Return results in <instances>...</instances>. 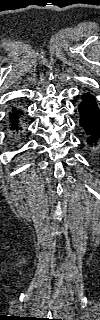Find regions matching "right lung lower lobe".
Here are the masks:
<instances>
[{"label":"right lung lower lobe","instance_id":"98d812e1","mask_svg":"<svg viewBox=\"0 0 100 320\" xmlns=\"http://www.w3.org/2000/svg\"><path fill=\"white\" fill-rule=\"evenodd\" d=\"M9 119V126L10 129L13 131V133L17 135H21V132L23 130V112L16 107H13L8 115Z\"/></svg>","mask_w":100,"mask_h":320}]
</instances>
